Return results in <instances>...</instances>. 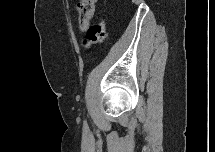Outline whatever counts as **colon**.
<instances>
[{
  "label": "colon",
  "mask_w": 215,
  "mask_h": 152,
  "mask_svg": "<svg viewBox=\"0 0 215 152\" xmlns=\"http://www.w3.org/2000/svg\"><path fill=\"white\" fill-rule=\"evenodd\" d=\"M94 0H81L77 5L79 25L82 30L87 29L86 38L83 41L85 48H91L101 44L105 40V21L88 26L94 15Z\"/></svg>",
  "instance_id": "5ec220e1"
}]
</instances>
